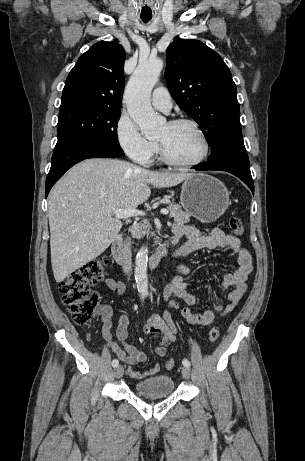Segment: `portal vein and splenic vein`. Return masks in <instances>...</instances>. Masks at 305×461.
Masks as SVG:
<instances>
[{
    "label": "portal vein and splenic vein",
    "mask_w": 305,
    "mask_h": 461,
    "mask_svg": "<svg viewBox=\"0 0 305 461\" xmlns=\"http://www.w3.org/2000/svg\"><path fill=\"white\" fill-rule=\"evenodd\" d=\"M161 214L163 215H168L169 211L167 209H162ZM115 218H129V217H136V216H143L145 215V212L137 209H129V210H123V209H118L113 213Z\"/></svg>",
    "instance_id": "portal-vein-and-splenic-vein-1"
}]
</instances>
